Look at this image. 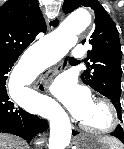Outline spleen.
<instances>
[{
    "label": "spleen",
    "mask_w": 124,
    "mask_h": 149,
    "mask_svg": "<svg viewBox=\"0 0 124 149\" xmlns=\"http://www.w3.org/2000/svg\"><path fill=\"white\" fill-rule=\"evenodd\" d=\"M113 148L118 149V144L112 139Z\"/></svg>",
    "instance_id": "3e777b00"
}]
</instances>
